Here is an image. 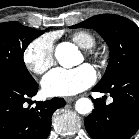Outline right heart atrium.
Wrapping results in <instances>:
<instances>
[{
  "instance_id": "obj_1",
  "label": "right heart atrium",
  "mask_w": 139,
  "mask_h": 139,
  "mask_svg": "<svg viewBox=\"0 0 139 139\" xmlns=\"http://www.w3.org/2000/svg\"><path fill=\"white\" fill-rule=\"evenodd\" d=\"M23 61L32 73H45L54 64L53 38L42 35L32 40L23 51Z\"/></svg>"
}]
</instances>
